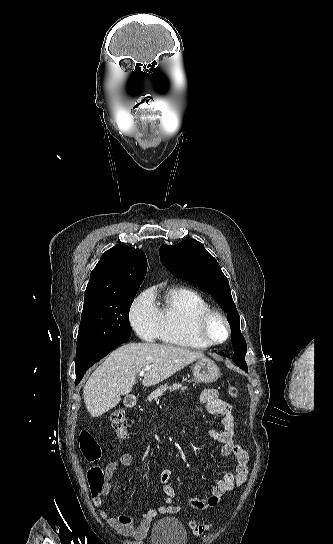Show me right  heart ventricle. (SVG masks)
<instances>
[{
    "label": "right heart ventricle",
    "instance_id": "1",
    "mask_svg": "<svg viewBox=\"0 0 333 544\" xmlns=\"http://www.w3.org/2000/svg\"><path fill=\"white\" fill-rule=\"evenodd\" d=\"M210 308L198 291L184 286L170 288L158 308L160 339L179 347L206 349L209 346L199 339L196 325L199 316Z\"/></svg>",
    "mask_w": 333,
    "mask_h": 544
}]
</instances>
